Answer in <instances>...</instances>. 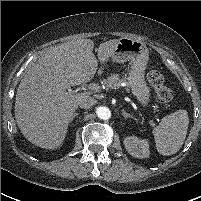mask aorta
Segmentation results:
<instances>
[{
    "label": "aorta",
    "instance_id": "obj_1",
    "mask_svg": "<svg viewBox=\"0 0 201 201\" xmlns=\"http://www.w3.org/2000/svg\"><path fill=\"white\" fill-rule=\"evenodd\" d=\"M96 114L98 118L102 120H108L111 117V111L108 107L105 106L98 107L96 110Z\"/></svg>",
    "mask_w": 201,
    "mask_h": 201
}]
</instances>
